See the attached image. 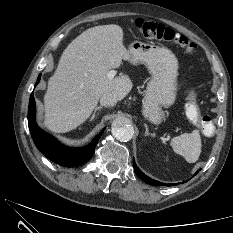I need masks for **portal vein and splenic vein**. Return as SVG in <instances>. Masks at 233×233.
I'll list each match as a JSON object with an SVG mask.
<instances>
[{
	"mask_svg": "<svg viewBox=\"0 0 233 233\" xmlns=\"http://www.w3.org/2000/svg\"><path fill=\"white\" fill-rule=\"evenodd\" d=\"M116 74H117L116 70H111L107 73V77L109 79H113L116 76Z\"/></svg>",
	"mask_w": 233,
	"mask_h": 233,
	"instance_id": "1",
	"label": "portal vein and splenic vein"
}]
</instances>
